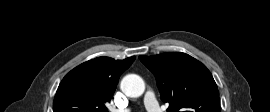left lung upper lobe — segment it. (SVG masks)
<instances>
[{
    "label": "left lung upper lobe",
    "mask_w": 270,
    "mask_h": 112,
    "mask_svg": "<svg viewBox=\"0 0 270 112\" xmlns=\"http://www.w3.org/2000/svg\"><path fill=\"white\" fill-rule=\"evenodd\" d=\"M157 80L167 112H220L219 92L210 71L181 52L139 56Z\"/></svg>",
    "instance_id": "5c2ea615"
}]
</instances>
